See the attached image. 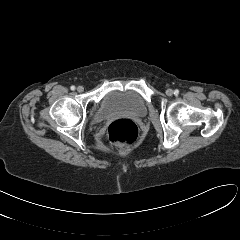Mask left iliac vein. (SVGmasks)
Returning <instances> with one entry per match:
<instances>
[{
	"label": "left iliac vein",
	"instance_id": "1",
	"mask_svg": "<svg viewBox=\"0 0 240 240\" xmlns=\"http://www.w3.org/2000/svg\"><path fill=\"white\" fill-rule=\"evenodd\" d=\"M173 90L172 89H167L166 90V94L168 95V96H172L173 95Z\"/></svg>",
	"mask_w": 240,
	"mask_h": 240
}]
</instances>
